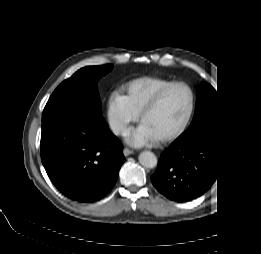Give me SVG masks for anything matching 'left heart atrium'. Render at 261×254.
<instances>
[{"mask_svg":"<svg viewBox=\"0 0 261 254\" xmlns=\"http://www.w3.org/2000/svg\"><path fill=\"white\" fill-rule=\"evenodd\" d=\"M126 142L132 146L142 147L148 146L156 140V137L152 135L142 124L137 128L131 129L126 134Z\"/></svg>","mask_w":261,"mask_h":254,"instance_id":"39dd6f15","label":"left heart atrium"}]
</instances>
